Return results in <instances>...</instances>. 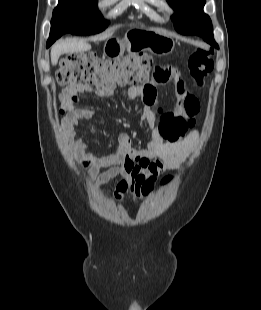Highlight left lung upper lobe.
<instances>
[{
	"label": "left lung upper lobe",
	"mask_w": 261,
	"mask_h": 310,
	"mask_svg": "<svg viewBox=\"0 0 261 310\" xmlns=\"http://www.w3.org/2000/svg\"><path fill=\"white\" fill-rule=\"evenodd\" d=\"M174 9L172 16L176 31L185 35H195L202 24L211 23L203 13L205 0H167Z\"/></svg>",
	"instance_id": "1"
}]
</instances>
